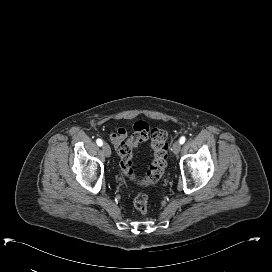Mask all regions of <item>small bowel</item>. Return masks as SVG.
<instances>
[{
    "label": "small bowel",
    "instance_id": "small-bowel-1",
    "mask_svg": "<svg viewBox=\"0 0 272 272\" xmlns=\"http://www.w3.org/2000/svg\"><path fill=\"white\" fill-rule=\"evenodd\" d=\"M127 130L124 127H119L109 135V139L119 152L121 143L127 140Z\"/></svg>",
    "mask_w": 272,
    "mask_h": 272
}]
</instances>
